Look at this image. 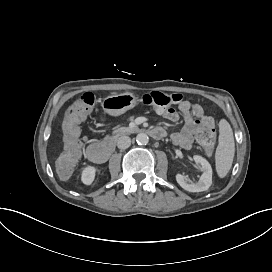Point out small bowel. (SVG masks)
<instances>
[{
  "label": "small bowel",
  "mask_w": 272,
  "mask_h": 272,
  "mask_svg": "<svg viewBox=\"0 0 272 272\" xmlns=\"http://www.w3.org/2000/svg\"><path fill=\"white\" fill-rule=\"evenodd\" d=\"M158 113L163 115L171 122H177L181 114L184 119V125L180 131L174 132L171 136L175 145L183 149H191L194 146V135L203 130V126L208 121H214L213 117L206 116L203 108L196 103L188 100H182L178 104V108L173 109H157ZM84 144H87L86 137L83 139Z\"/></svg>",
  "instance_id": "c3829d8e"
}]
</instances>
